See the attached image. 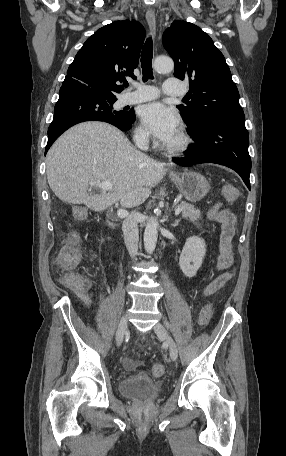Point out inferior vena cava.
Returning a JSON list of instances; mask_svg holds the SVG:
<instances>
[{
    "instance_id": "inferior-vena-cava-1",
    "label": "inferior vena cava",
    "mask_w": 286,
    "mask_h": 456,
    "mask_svg": "<svg viewBox=\"0 0 286 456\" xmlns=\"http://www.w3.org/2000/svg\"><path fill=\"white\" fill-rule=\"evenodd\" d=\"M135 142L141 150H148V134H138L135 137ZM137 224V214L135 212L124 219L122 224L125 245L131 257H135L138 253L139 232Z\"/></svg>"
}]
</instances>
